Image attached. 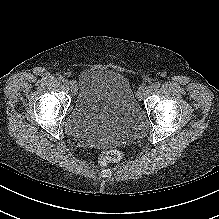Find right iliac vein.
<instances>
[{
    "mask_svg": "<svg viewBox=\"0 0 219 219\" xmlns=\"http://www.w3.org/2000/svg\"><path fill=\"white\" fill-rule=\"evenodd\" d=\"M64 84L66 86H68L71 89V91H73L75 89V82L74 81H65Z\"/></svg>",
    "mask_w": 219,
    "mask_h": 219,
    "instance_id": "right-iliac-vein-1",
    "label": "right iliac vein"
}]
</instances>
